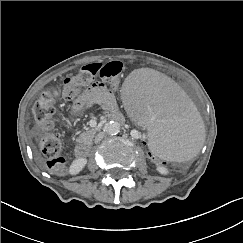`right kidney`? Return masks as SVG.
<instances>
[{
    "mask_svg": "<svg viewBox=\"0 0 243 243\" xmlns=\"http://www.w3.org/2000/svg\"><path fill=\"white\" fill-rule=\"evenodd\" d=\"M87 164V159L86 158H77L75 159L69 169L70 174H78Z\"/></svg>",
    "mask_w": 243,
    "mask_h": 243,
    "instance_id": "obj_1",
    "label": "right kidney"
}]
</instances>
